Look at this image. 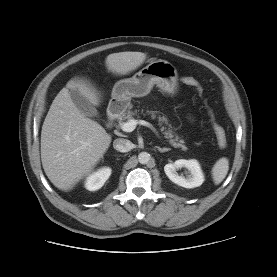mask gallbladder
I'll use <instances>...</instances> for the list:
<instances>
[{
  "instance_id": "bac80fb5",
  "label": "gallbladder",
  "mask_w": 277,
  "mask_h": 277,
  "mask_svg": "<svg viewBox=\"0 0 277 277\" xmlns=\"http://www.w3.org/2000/svg\"><path fill=\"white\" fill-rule=\"evenodd\" d=\"M70 97L82 114L93 118L98 117L97 109L78 90L72 89Z\"/></svg>"
}]
</instances>
